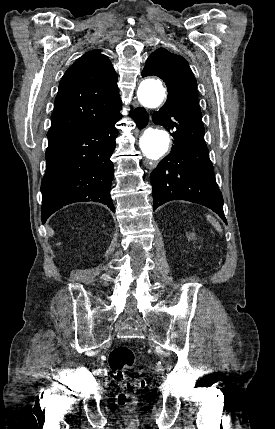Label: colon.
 <instances>
[{"label":"colon","instance_id":"colon-1","mask_svg":"<svg viewBox=\"0 0 275 429\" xmlns=\"http://www.w3.org/2000/svg\"><path fill=\"white\" fill-rule=\"evenodd\" d=\"M109 367L113 378L120 382L124 388L117 396L119 405H131L136 401V393L145 386L143 379H132L127 371L136 365L133 351L125 345H120L111 350L108 356Z\"/></svg>","mask_w":275,"mask_h":429}]
</instances>
